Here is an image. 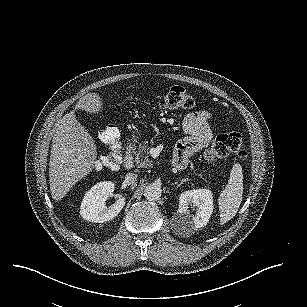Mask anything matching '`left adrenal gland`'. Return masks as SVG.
I'll return each mask as SVG.
<instances>
[{
  "mask_svg": "<svg viewBox=\"0 0 307 307\" xmlns=\"http://www.w3.org/2000/svg\"><path fill=\"white\" fill-rule=\"evenodd\" d=\"M186 181H188V179H187V178H186V179H182V180L180 181L179 186H181L182 182H186Z\"/></svg>",
  "mask_w": 307,
  "mask_h": 307,
  "instance_id": "left-adrenal-gland-1",
  "label": "left adrenal gland"
}]
</instances>
